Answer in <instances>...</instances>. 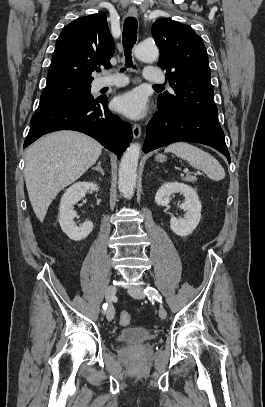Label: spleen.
Segmentation results:
<instances>
[{
  "label": "spleen",
  "mask_w": 265,
  "mask_h": 407,
  "mask_svg": "<svg viewBox=\"0 0 265 407\" xmlns=\"http://www.w3.org/2000/svg\"><path fill=\"white\" fill-rule=\"evenodd\" d=\"M165 152H171L187 161L192 167L205 172L214 181H220L225 177V171L217 159L189 143H173L165 148Z\"/></svg>",
  "instance_id": "obj_1"
}]
</instances>
